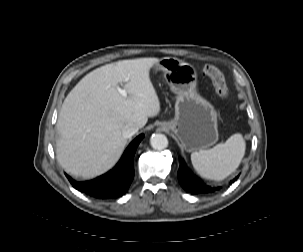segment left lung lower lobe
I'll return each mask as SVG.
<instances>
[{"label":"left lung lower lobe","mask_w":303,"mask_h":252,"mask_svg":"<svg viewBox=\"0 0 303 252\" xmlns=\"http://www.w3.org/2000/svg\"><path fill=\"white\" fill-rule=\"evenodd\" d=\"M236 177L232 182H234ZM178 180L181 186L191 193H211L219 190L221 187H211L205 185L199 178L191 173L189 169L182 162L178 170Z\"/></svg>","instance_id":"1"}]
</instances>
